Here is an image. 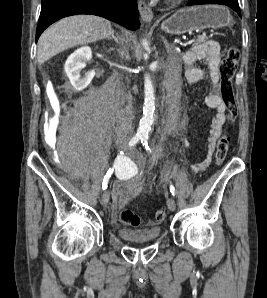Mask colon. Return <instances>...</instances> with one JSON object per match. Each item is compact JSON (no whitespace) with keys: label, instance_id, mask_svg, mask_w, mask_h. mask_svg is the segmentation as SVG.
Wrapping results in <instances>:
<instances>
[{"label":"colon","instance_id":"1","mask_svg":"<svg viewBox=\"0 0 267 298\" xmlns=\"http://www.w3.org/2000/svg\"><path fill=\"white\" fill-rule=\"evenodd\" d=\"M240 59L239 49L230 47L220 66L221 78V97L225 103L230 120L236 116V100L233 88V78L235 76ZM229 138L226 134L222 135L216 145L215 162L217 165L223 163L228 152ZM121 221L129 226L137 227L141 224V218L130 209H124L120 214ZM157 221L162 222L166 218V212L163 209L157 210L155 213Z\"/></svg>","mask_w":267,"mask_h":298}]
</instances>
